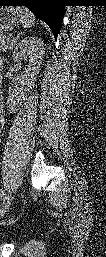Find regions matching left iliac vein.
I'll return each instance as SVG.
<instances>
[{
  "instance_id": "4c4485c4",
  "label": "left iliac vein",
  "mask_w": 106,
  "mask_h": 257,
  "mask_svg": "<svg viewBox=\"0 0 106 257\" xmlns=\"http://www.w3.org/2000/svg\"><path fill=\"white\" fill-rule=\"evenodd\" d=\"M12 201V193H8L4 198L2 202V209H1V216L9 209V206Z\"/></svg>"
}]
</instances>
